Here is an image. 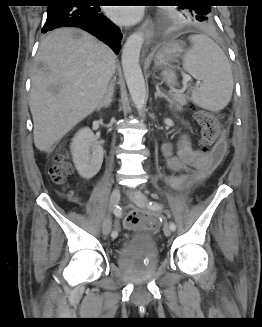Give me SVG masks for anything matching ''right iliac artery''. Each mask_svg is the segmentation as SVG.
<instances>
[{"instance_id":"right-iliac-artery-1","label":"right iliac artery","mask_w":262,"mask_h":327,"mask_svg":"<svg viewBox=\"0 0 262 327\" xmlns=\"http://www.w3.org/2000/svg\"><path fill=\"white\" fill-rule=\"evenodd\" d=\"M114 214H115L116 217H120L121 216V208L119 206H116L114 208ZM111 236L113 238H116L118 236V232L117 231H113L112 234H111Z\"/></svg>"}]
</instances>
